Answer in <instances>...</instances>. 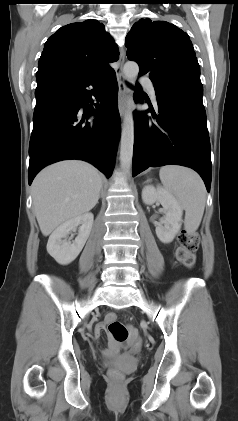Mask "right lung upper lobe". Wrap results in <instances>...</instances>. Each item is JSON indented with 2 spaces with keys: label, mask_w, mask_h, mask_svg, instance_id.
<instances>
[{
  "label": "right lung upper lobe",
  "mask_w": 238,
  "mask_h": 421,
  "mask_svg": "<svg viewBox=\"0 0 238 421\" xmlns=\"http://www.w3.org/2000/svg\"><path fill=\"white\" fill-rule=\"evenodd\" d=\"M118 47L103 23L86 20L61 27L49 37L39 59L37 80L46 77L88 78L108 74Z\"/></svg>",
  "instance_id": "1"
}]
</instances>
